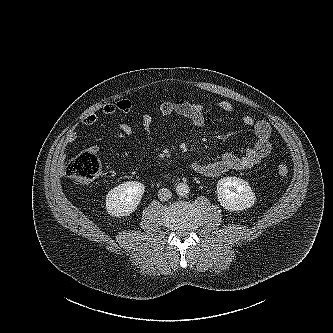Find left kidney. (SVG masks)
Segmentation results:
<instances>
[{
	"label": "left kidney",
	"mask_w": 333,
	"mask_h": 333,
	"mask_svg": "<svg viewBox=\"0 0 333 333\" xmlns=\"http://www.w3.org/2000/svg\"><path fill=\"white\" fill-rule=\"evenodd\" d=\"M220 205L229 211H242L255 204V193L248 182L238 177H225L217 183Z\"/></svg>",
	"instance_id": "1"
}]
</instances>
